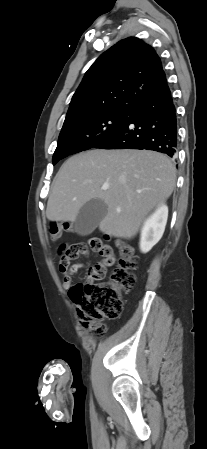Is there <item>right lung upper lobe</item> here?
<instances>
[{
	"mask_svg": "<svg viewBox=\"0 0 207 449\" xmlns=\"http://www.w3.org/2000/svg\"><path fill=\"white\" fill-rule=\"evenodd\" d=\"M169 91L155 50L138 38H126L104 52L86 72L66 119L104 109L135 110Z\"/></svg>",
	"mask_w": 207,
	"mask_h": 449,
	"instance_id": "cb5924a9",
	"label": "right lung upper lobe"
}]
</instances>
